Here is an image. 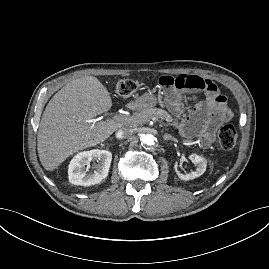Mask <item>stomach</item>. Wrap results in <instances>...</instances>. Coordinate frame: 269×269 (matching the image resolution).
Instances as JSON below:
<instances>
[{
    "mask_svg": "<svg viewBox=\"0 0 269 269\" xmlns=\"http://www.w3.org/2000/svg\"><path fill=\"white\" fill-rule=\"evenodd\" d=\"M158 102L157 97L152 94H145L142 97H140L137 101V106L139 109H147V108H152L154 107Z\"/></svg>",
    "mask_w": 269,
    "mask_h": 269,
    "instance_id": "stomach-1",
    "label": "stomach"
}]
</instances>
